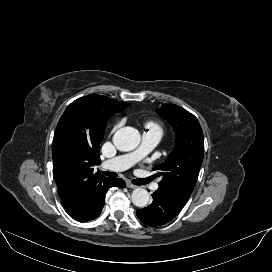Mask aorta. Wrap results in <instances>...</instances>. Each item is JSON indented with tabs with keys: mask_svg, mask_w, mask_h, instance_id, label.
I'll return each mask as SVG.
<instances>
[{
	"mask_svg": "<svg viewBox=\"0 0 272 272\" xmlns=\"http://www.w3.org/2000/svg\"><path fill=\"white\" fill-rule=\"evenodd\" d=\"M140 142V134L133 127H123L117 130L113 136V143L120 151H131L135 149ZM132 203L140 208L148 205L150 195L143 188H136L131 194Z\"/></svg>",
	"mask_w": 272,
	"mask_h": 272,
	"instance_id": "obj_1",
	"label": "aorta"
}]
</instances>
